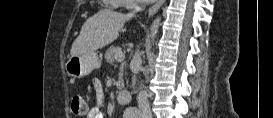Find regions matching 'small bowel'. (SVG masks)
<instances>
[{"label": "small bowel", "instance_id": "small-bowel-1", "mask_svg": "<svg viewBox=\"0 0 273 118\" xmlns=\"http://www.w3.org/2000/svg\"><path fill=\"white\" fill-rule=\"evenodd\" d=\"M93 86L96 93L97 104L90 108L87 114V118H103V112L101 108L104 99L103 88L98 80H94Z\"/></svg>", "mask_w": 273, "mask_h": 118}]
</instances>
